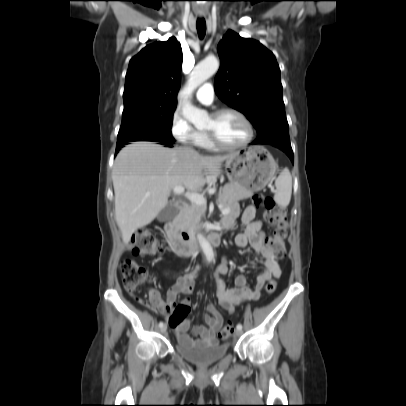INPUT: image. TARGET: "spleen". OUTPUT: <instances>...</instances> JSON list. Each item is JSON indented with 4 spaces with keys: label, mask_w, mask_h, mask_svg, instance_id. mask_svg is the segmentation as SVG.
I'll list each match as a JSON object with an SVG mask.
<instances>
[{
    "label": "spleen",
    "mask_w": 406,
    "mask_h": 406,
    "mask_svg": "<svg viewBox=\"0 0 406 406\" xmlns=\"http://www.w3.org/2000/svg\"><path fill=\"white\" fill-rule=\"evenodd\" d=\"M276 194L274 199L282 207L289 205L292 194V176L288 169L281 170L275 181Z\"/></svg>",
    "instance_id": "spleen-1"
}]
</instances>
